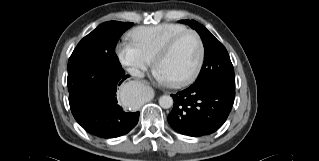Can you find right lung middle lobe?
I'll return each mask as SVG.
<instances>
[{
	"label": "right lung middle lobe",
	"mask_w": 319,
	"mask_h": 161,
	"mask_svg": "<svg viewBox=\"0 0 319 161\" xmlns=\"http://www.w3.org/2000/svg\"><path fill=\"white\" fill-rule=\"evenodd\" d=\"M132 25L129 22L108 21L78 43L67 66L69 94L80 83L87 82V77L119 65L114 49L120 36Z\"/></svg>",
	"instance_id": "obj_1"
}]
</instances>
